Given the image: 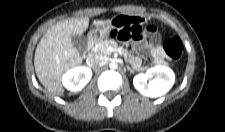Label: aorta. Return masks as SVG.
<instances>
[{
    "mask_svg": "<svg viewBox=\"0 0 225 132\" xmlns=\"http://www.w3.org/2000/svg\"><path fill=\"white\" fill-rule=\"evenodd\" d=\"M110 67H111V68H116V64H115V63H112V64L110 65Z\"/></svg>",
    "mask_w": 225,
    "mask_h": 132,
    "instance_id": "aorta-1",
    "label": "aorta"
}]
</instances>
